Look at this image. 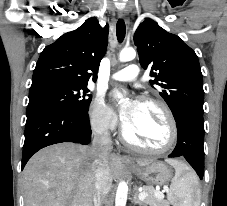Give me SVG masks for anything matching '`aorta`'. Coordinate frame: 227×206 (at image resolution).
Returning <instances> with one entry per match:
<instances>
[{
	"mask_svg": "<svg viewBox=\"0 0 227 206\" xmlns=\"http://www.w3.org/2000/svg\"><path fill=\"white\" fill-rule=\"evenodd\" d=\"M136 57V52L132 48H125L119 54V61L120 62H128L133 60ZM115 97L117 99H121V94L116 91ZM128 195V186L125 181H121L118 185L116 191V198H115V206H126Z\"/></svg>",
	"mask_w": 227,
	"mask_h": 206,
	"instance_id": "762f6f07",
	"label": "aorta"
}]
</instances>
